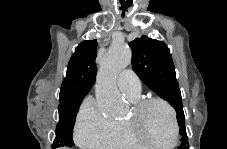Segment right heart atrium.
Wrapping results in <instances>:
<instances>
[{
    "mask_svg": "<svg viewBox=\"0 0 227 149\" xmlns=\"http://www.w3.org/2000/svg\"><path fill=\"white\" fill-rule=\"evenodd\" d=\"M114 120L104 116L91 98L83 101L75 123V138L87 149H103L110 145Z\"/></svg>",
    "mask_w": 227,
    "mask_h": 149,
    "instance_id": "d8ad5b80",
    "label": "right heart atrium"
}]
</instances>
